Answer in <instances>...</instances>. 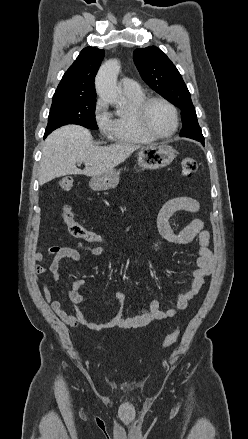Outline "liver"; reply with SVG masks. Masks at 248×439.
Returning a JSON list of instances; mask_svg holds the SVG:
<instances>
[{
	"label": "liver",
	"mask_w": 248,
	"mask_h": 439,
	"mask_svg": "<svg viewBox=\"0 0 248 439\" xmlns=\"http://www.w3.org/2000/svg\"><path fill=\"white\" fill-rule=\"evenodd\" d=\"M139 148V145L126 142L96 146L88 129L78 125L63 126L53 131L44 142L39 182L44 184L66 175L94 177L104 174ZM77 163H85V169H78Z\"/></svg>",
	"instance_id": "6515ba94"
}]
</instances>
